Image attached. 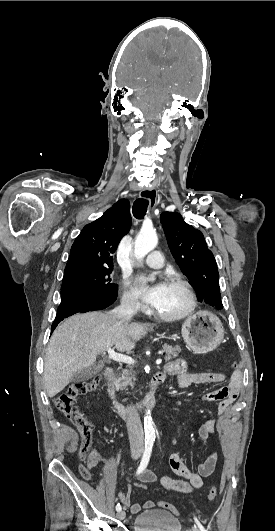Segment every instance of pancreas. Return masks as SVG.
<instances>
[{"instance_id":"obj_1","label":"pancreas","mask_w":275,"mask_h":531,"mask_svg":"<svg viewBox=\"0 0 275 531\" xmlns=\"http://www.w3.org/2000/svg\"><path fill=\"white\" fill-rule=\"evenodd\" d=\"M163 351L166 353L165 361H171V359H176L178 357L179 353H181L182 349L181 347H171V345H163ZM134 381H137L135 371H129V369H124L122 371L120 377H116V379H112V383L116 385V387H134L135 383Z\"/></svg>"}]
</instances>
